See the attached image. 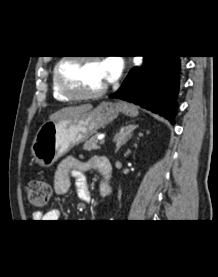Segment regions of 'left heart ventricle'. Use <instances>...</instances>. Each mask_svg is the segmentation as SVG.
Segmentation results:
<instances>
[{
    "mask_svg": "<svg viewBox=\"0 0 218 277\" xmlns=\"http://www.w3.org/2000/svg\"><path fill=\"white\" fill-rule=\"evenodd\" d=\"M68 84L79 92H92L103 87L107 80L100 61H70L63 67Z\"/></svg>",
    "mask_w": 218,
    "mask_h": 277,
    "instance_id": "1",
    "label": "left heart ventricle"
}]
</instances>
